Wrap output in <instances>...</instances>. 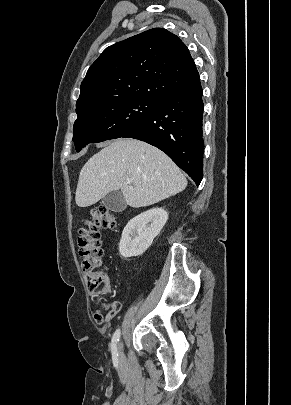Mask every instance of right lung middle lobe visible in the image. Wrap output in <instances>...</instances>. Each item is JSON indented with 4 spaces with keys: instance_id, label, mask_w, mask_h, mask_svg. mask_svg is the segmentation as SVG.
Returning a JSON list of instances; mask_svg holds the SVG:
<instances>
[{
    "instance_id": "right-lung-middle-lobe-1",
    "label": "right lung middle lobe",
    "mask_w": 291,
    "mask_h": 405,
    "mask_svg": "<svg viewBox=\"0 0 291 405\" xmlns=\"http://www.w3.org/2000/svg\"><path fill=\"white\" fill-rule=\"evenodd\" d=\"M157 100L129 97L92 104L77 110L73 141L79 152L89 143L123 137L152 114Z\"/></svg>"
}]
</instances>
